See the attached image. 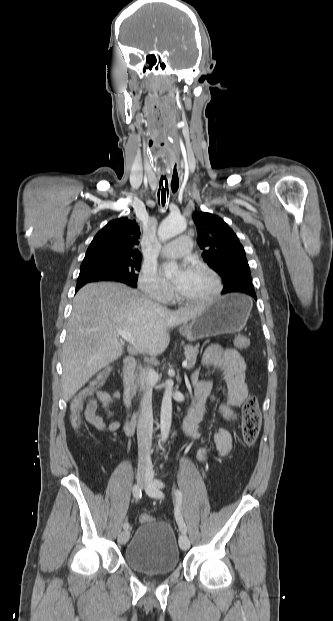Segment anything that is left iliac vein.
<instances>
[{
    "mask_svg": "<svg viewBox=\"0 0 333 621\" xmlns=\"http://www.w3.org/2000/svg\"><path fill=\"white\" fill-rule=\"evenodd\" d=\"M146 491H147L148 495L153 497V498H160L162 496V493L160 492L158 487H156L154 485V477H153V473L152 472L148 473V476H147V479H146ZM179 546L184 551L189 549V547H190V540H189V538L185 534H182L179 537Z\"/></svg>",
    "mask_w": 333,
    "mask_h": 621,
    "instance_id": "1",
    "label": "left iliac vein"
}]
</instances>
